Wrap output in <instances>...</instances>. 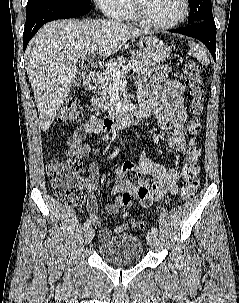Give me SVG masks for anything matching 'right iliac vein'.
I'll list each match as a JSON object with an SVG mask.
<instances>
[{"label":"right iliac vein","instance_id":"1","mask_svg":"<svg viewBox=\"0 0 239 303\" xmlns=\"http://www.w3.org/2000/svg\"><path fill=\"white\" fill-rule=\"evenodd\" d=\"M94 237V229L89 227L85 230L84 233V244H89Z\"/></svg>","mask_w":239,"mask_h":303}]
</instances>
